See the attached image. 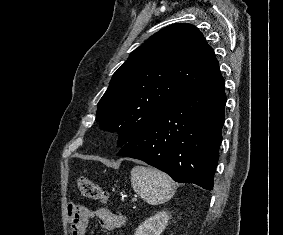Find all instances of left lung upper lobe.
<instances>
[{"label": "left lung upper lobe", "instance_id": "left-lung-upper-lobe-1", "mask_svg": "<svg viewBox=\"0 0 283 235\" xmlns=\"http://www.w3.org/2000/svg\"><path fill=\"white\" fill-rule=\"evenodd\" d=\"M219 71L197 27L173 24L134 50L114 73L98 103L100 127L119 133L123 146L184 95Z\"/></svg>", "mask_w": 283, "mask_h": 235}]
</instances>
